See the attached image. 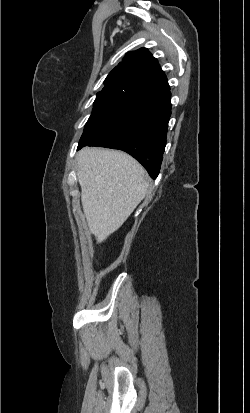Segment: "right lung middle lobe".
<instances>
[{
	"instance_id": "dd1d6c3e",
	"label": "right lung middle lobe",
	"mask_w": 250,
	"mask_h": 413,
	"mask_svg": "<svg viewBox=\"0 0 250 413\" xmlns=\"http://www.w3.org/2000/svg\"><path fill=\"white\" fill-rule=\"evenodd\" d=\"M138 97L137 93L131 91L102 89L97 94L92 114L85 125L78 147L94 140L118 118L131 100Z\"/></svg>"
}]
</instances>
